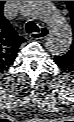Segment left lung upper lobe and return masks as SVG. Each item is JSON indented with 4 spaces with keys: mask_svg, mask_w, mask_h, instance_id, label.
<instances>
[{
    "mask_svg": "<svg viewBox=\"0 0 74 122\" xmlns=\"http://www.w3.org/2000/svg\"><path fill=\"white\" fill-rule=\"evenodd\" d=\"M67 7L71 13L72 19V31L74 34V1H66ZM74 37V36H73ZM62 58L74 63V40L72 41V45L70 46V50L62 55Z\"/></svg>",
    "mask_w": 74,
    "mask_h": 122,
    "instance_id": "5c2ea615",
    "label": "left lung upper lobe"
}]
</instances>
